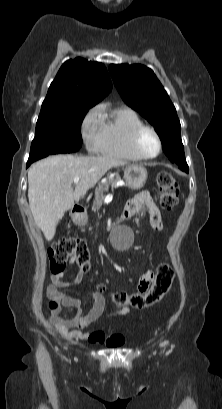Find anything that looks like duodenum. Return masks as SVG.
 <instances>
[{
  "mask_svg": "<svg viewBox=\"0 0 222 409\" xmlns=\"http://www.w3.org/2000/svg\"><path fill=\"white\" fill-rule=\"evenodd\" d=\"M82 212H83V208L81 206L79 205L74 206L72 209L74 219H77L82 214Z\"/></svg>",
  "mask_w": 222,
  "mask_h": 409,
  "instance_id": "duodenum-1",
  "label": "duodenum"
}]
</instances>
